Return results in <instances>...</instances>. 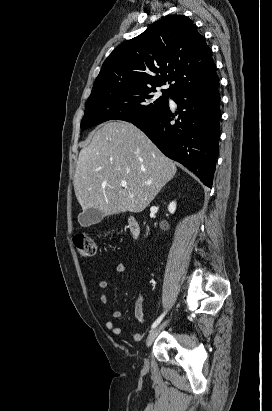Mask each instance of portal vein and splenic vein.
<instances>
[{"mask_svg": "<svg viewBox=\"0 0 272 411\" xmlns=\"http://www.w3.org/2000/svg\"><path fill=\"white\" fill-rule=\"evenodd\" d=\"M147 184H150V182L147 183ZM121 185H122L123 187H126V186H127V183H126V182H122Z\"/></svg>", "mask_w": 272, "mask_h": 411, "instance_id": "18ae733b", "label": "portal vein and splenic vein"}]
</instances>
